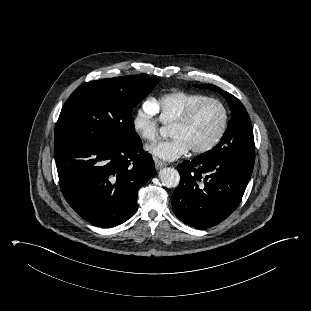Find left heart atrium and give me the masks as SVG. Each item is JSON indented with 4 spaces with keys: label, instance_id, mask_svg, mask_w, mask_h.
<instances>
[{
    "label": "left heart atrium",
    "instance_id": "1",
    "mask_svg": "<svg viewBox=\"0 0 311 311\" xmlns=\"http://www.w3.org/2000/svg\"><path fill=\"white\" fill-rule=\"evenodd\" d=\"M190 150L188 144L179 137H173L169 140L158 141L147 147V151L155 159L164 161H174Z\"/></svg>",
    "mask_w": 311,
    "mask_h": 311
}]
</instances>
